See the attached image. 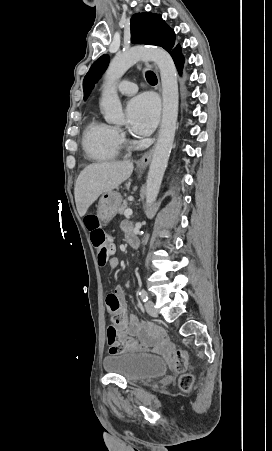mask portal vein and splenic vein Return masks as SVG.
Listing matches in <instances>:
<instances>
[{"instance_id": "portal-vein-and-splenic-vein-1", "label": "portal vein and splenic vein", "mask_w": 272, "mask_h": 451, "mask_svg": "<svg viewBox=\"0 0 272 451\" xmlns=\"http://www.w3.org/2000/svg\"><path fill=\"white\" fill-rule=\"evenodd\" d=\"M132 214H133L132 210H125V212H124L125 218H130V216H132Z\"/></svg>"}]
</instances>
